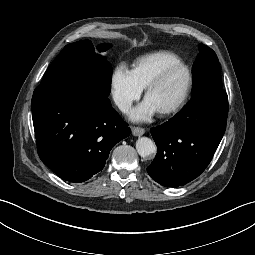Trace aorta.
<instances>
[{
	"label": "aorta",
	"instance_id": "1",
	"mask_svg": "<svg viewBox=\"0 0 255 255\" xmlns=\"http://www.w3.org/2000/svg\"><path fill=\"white\" fill-rule=\"evenodd\" d=\"M136 149L138 154L143 158L153 156L156 153V145L148 137L138 138Z\"/></svg>",
	"mask_w": 255,
	"mask_h": 255
}]
</instances>
